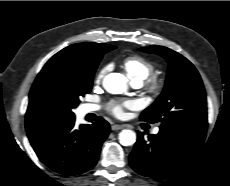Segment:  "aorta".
Segmentation results:
<instances>
[{
	"instance_id": "aorta-1",
	"label": "aorta",
	"mask_w": 230,
	"mask_h": 186,
	"mask_svg": "<svg viewBox=\"0 0 230 186\" xmlns=\"http://www.w3.org/2000/svg\"><path fill=\"white\" fill-rule=\"evenodd\" d=\"M103 87L111 94H121L127 90V80L120 73H110L105 76ZM118 139L123 146H131L136 142V134L132 130L125 129L119 133Z\"/></svg>"
}]
</instances>
